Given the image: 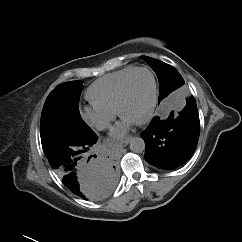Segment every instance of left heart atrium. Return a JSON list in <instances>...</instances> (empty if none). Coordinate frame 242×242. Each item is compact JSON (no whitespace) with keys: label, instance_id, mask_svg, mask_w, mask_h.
<instances>
[{"label":"left heart atrium","instance_id":"left-heart-atrium-1","mask_svg":"<svg viewBox=\"0 0 242 242\" xmlns=\"http://www.w3.org/2000/svg\"><path fill=\"white\" fill-rule=\"evenodd\" d=\"M134 123L131 119L122 116L121 121L111 130V136L113 138L123 137Z\"/></svg>","mask_w":242,"mask_h":242}]
</instances>
